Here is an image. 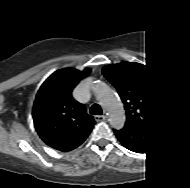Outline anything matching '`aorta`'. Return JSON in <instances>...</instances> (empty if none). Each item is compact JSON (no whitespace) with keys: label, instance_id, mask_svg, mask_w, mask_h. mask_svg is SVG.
<instances>
[{"label":"aorta","instance_id":"obj_1","mask_svg":"<svg viewBox=\"0 0 190 188\" xmlns=\"http://www.w3.org/2000/svg\"><path fill=\"white\" fill-rule=\"evenodd\" d=\"M98 99L101 106L106 110L111 125H122L125 116L116 95L107 86L102 85L99 90Z\"/></svg>","mask_w":190,"mask_h":188}]
</instances>
